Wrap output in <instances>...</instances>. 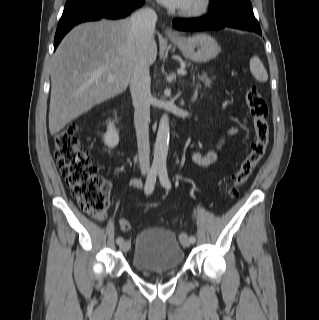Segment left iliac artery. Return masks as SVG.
Instances as JSON below:
<instances>
[{
	"label": "left iliac artery",
	"mask_w": 319,
	"mask_h": 320,
	"mask_svg": "<svg viewBox=\"0 0 319 320\" xmlns=\"http://www.w3.org/2000/svg\"><path fill=\"white\" fill-rule=\"evenodd\" d=\"M158 174H159V179L161 184L163 185V187H165L166 189H170L171 188V183L168 179V174H167V168L166 166H160L158 169ZM184 235L181 234V236ZM196 241V238L194 236H190L189 237V242L190 243H194Z\"/></svg>",
	"instance_id": "obj_1"
}]
</instances>
